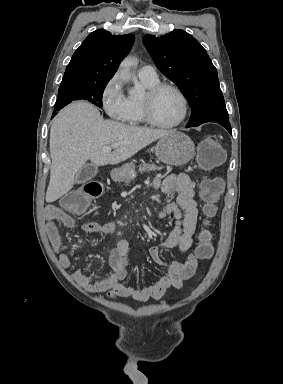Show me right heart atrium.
Returning <instances> with one entry per match:
<instances>
[{
  "mask_svg": "<svg viewBox=\"0 0 283 384\" xmlns=\"http://www.w3.org/2000/svg\"><path fill=\"white\" fill-rule=\"evenodd\" d=\"M101 106L116 125L126 123L127 96L119 73L113 74L103 85L100 93Z\"/></svg>",
  "mask_w": 283,
  "mask_h": 384,
  "instance_id": "obj_1",
  "label": "right heart atrium"
}]
</instances>
